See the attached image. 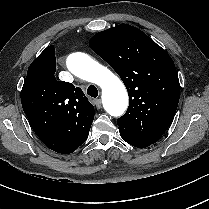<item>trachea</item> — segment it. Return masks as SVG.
Returning a JSON list of instances; mask_svg holds the SVG:
<instances>
[{"label": "trachea", "mask_w": 209, "mask_h": 209, "mask_svg": "<svg viewBox=\"0 0 209 209\" xmlns=\"http://www.w3.org/2000/svg\"><path fill=\"white\" fill-rule=\"evenodd\" d=\"M87 94L91 97H94L96 98L98 96V89L96 86L94 85H90L88 88H87Z\"/></svg>", "instance_id": "trachea-1"}]
</instances>
